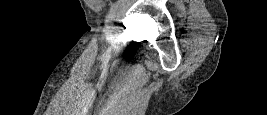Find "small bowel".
Here are the masks:
<instances>
[{"label": "small bowel", "instance_id": "c3829d8e", "mask_svg": "<svg viewBox=\"0 0 267 115\" xmlns=\"http://www.w3.org/2000/svg\"><path fill=\"white\" fill-rule=\"evenodd\" d=\"M86 2L94 9H100L102 6L100 1L87 0Z\"/></svg>", "mask_w": 267, "mask_h": 115}]
</instances>
